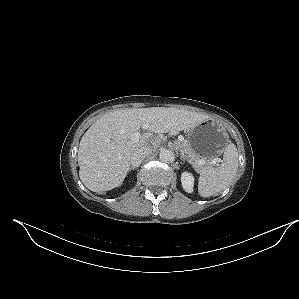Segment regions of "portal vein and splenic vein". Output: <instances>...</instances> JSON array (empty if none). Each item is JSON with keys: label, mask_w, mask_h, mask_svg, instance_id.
<instances>
[{"label": "portal vein and splenic vein", "mask_w": 299, "mask_h": 299, "mask_svg": "<svg viewBox=\"0 0 299 299\" xmlns=\"http://www.w3.org/2000/svg\"><path fill=\"white\" fill-rule=\"evenodd\" d=\"M141 138V134L139 132H134L132 135H131V142L133 143H136L140 140ZM179 141H184V138L183 137H179ZM218 162L217 159H213L211 161H209L210 164H216ZM206 164V161L205 160H199L198 161V165H204Z\"/></svg>", "instance_id": "1"}]
</instances>
